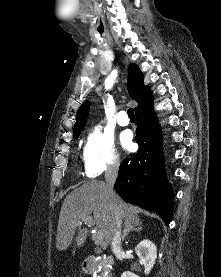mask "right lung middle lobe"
<instances>
[{
  "label": "right lung middle lobe",
  "mask_w": 221,
  "mask_h": 277,
  "mask_svg": "<svg viewBox=\"0 0 221 277\" xmlns=\"http://www.w3.org/2000/svg\"><path fill=\"white\" fill-rule=\"evenodd\" d=\"M81 131L73 133L74 134V138H78V136L80 135Z\"/></svg>",
  "instance_id": "right-lung-middle-lobe-1"
}]
</instances>
